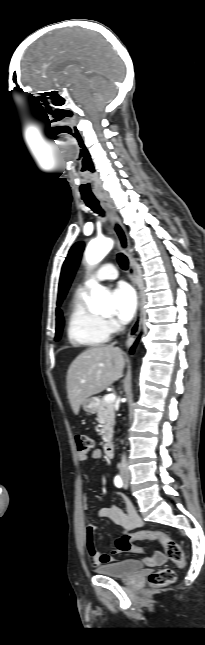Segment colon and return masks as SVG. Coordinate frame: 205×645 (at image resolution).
Segmentation results:
<instances>
[{
  "label": "colon",
  "mask_w": 205,
  "mask_h": 645,
  "mask_svg": "<svg viewBox=\"0 0 205 645\" xmlns=\"http://www.w3.org/2000/svg\"><path fill=\"white\" fill-rule=\"evenodd\" d=\"M75 441L79 454L87 455L94 448L93 440L86 435H77ZM135 540H158L170 561L179 567L185 565V555L181 545L160 531H142L135 535H124L116 540V549L119 552L142 553L143 549L133 544ZM148 580L154 587H164L175 582L176 574L172 569L164 568L151 573Z\"/></svg>",
  "instance_id": "5ec220e1"
}]
</instances>
